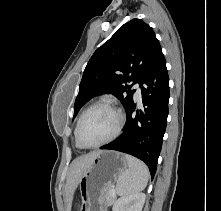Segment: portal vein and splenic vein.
<instances>
[{"instance_id":"portal-vein-and-splenic-vein-1","label":"portal vein and splenic vein","mask_w":221,"mask_h":211,"mask_svg":"<svg viewBox=\"0 0 221 211\" xmlns=\"http://www.w3.org/2000/svg\"><path fill=\"white\" fill-rule=\"evenodd\" d=\"M110 194H111L112 196H115V190L112 189V190L110 191Z\"/></svg>"}]
</instances>
